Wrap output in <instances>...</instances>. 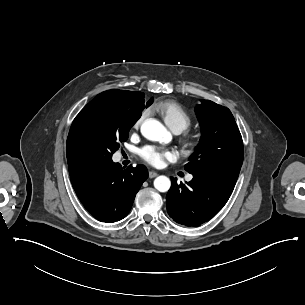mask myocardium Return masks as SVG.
Here are the masks:
<instances>
[{"label":"myocardium","mask_w":305,"mask_h":305,"mask_svg":"<svg viewBox=\"0 0 305 305\" xmlns=\"http://www.w3.org/2000/svg\"><path fill=\"white\" fill-rule=\"evenodd\" d=\"M200 145V137L198 135H189L183 140V146L187 152H194Z\"/></svg>","instance_id":"obj_1"}]
</instances>
